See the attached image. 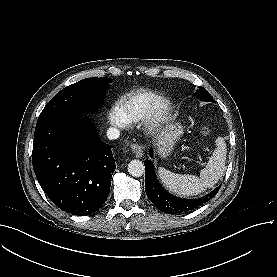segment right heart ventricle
<instances>
[{"mask_svg": "<svg viewBox=\"0 0 277 277\" xmlns=\"http://www.w3.org/2000/svg\"><path fill=\"white\" fill-rule=\"evenodd\" d=\"M156 98L155 93L139 89L121 98L116 104V108L124 121L134 123L145 119Z\"/></svg>", "mask_w": 277, "mask_h": 277, "instance_id": "1", "label": "right heart ventricle"}]
</instances>
